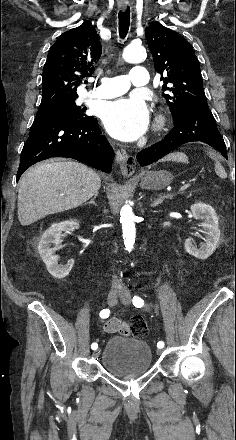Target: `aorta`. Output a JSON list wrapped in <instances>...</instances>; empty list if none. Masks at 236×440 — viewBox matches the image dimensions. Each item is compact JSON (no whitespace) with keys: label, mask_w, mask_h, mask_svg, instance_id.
<instances>
[{"label":"aorta","mask_w":236,"mask_h":440,"mask_svg":"<svg viewBox=\"0 0 236 440\" xmlns=\"http://www.w3.org/2000/svg\"><path fill=\"white\" fill-rule=\"evenodd\" d=\"M123 59L128 63H141L146 57V49L142 45L130 44L123 50ZM136 217L129 205H124L120 211V222L122 224L123 240L127 251L134 247L136 229Z\"/></svg>","instance_id":"762f6f07"}]
</instances>
